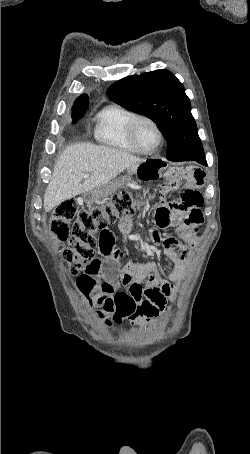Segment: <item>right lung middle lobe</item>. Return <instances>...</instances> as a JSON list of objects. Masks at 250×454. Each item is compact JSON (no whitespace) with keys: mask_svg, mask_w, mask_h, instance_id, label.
Segmentation results:
<instances>
[{"mask_svg":"<svg viewBox=\"0 0 250 454\" xmlns=\"http://www.w3.org/2000/svg\"><path fill=\"white\" fill-rule=\"evenodd\" d=\"M89 107V102H86V103H81V104H77V105H74L73 106V109H72V123H76L79 119H81L86 110L88 109Z\"/></svg>","mask_w":250,"mask_h":454,"instance_id":"1","label":"right lung middle lobe"}]
</instances>
